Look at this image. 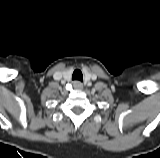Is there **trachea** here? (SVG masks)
<instances>
[{"instance_id": "obj_1", "label": "trachea", "mask_w": 160, "mask_h": 158, "mask_svg": "<svg viewBox=\"0 0 160 158\" xmlns=\"http://www.w3.org/2000/svg\"><path fill=\"white\" fill-rule=\"evenodd\" d=\"M72 80H78V81L83 80V74H82L81 70H79V69L74 70V72L72 74Z\"/></svg>"}]
</instances>
